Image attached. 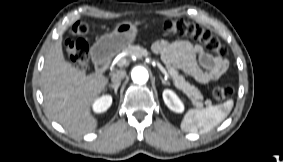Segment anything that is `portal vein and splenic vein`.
Segmentation results:
<instances>
[{"label":"portal vein and splenic vein","mask_w":283,"mask_h":162,"mask_svg":"<svg viewBox=\"0 0 283 162\" xmlns=\"http://www.w3.org/2000/svg\"><path fill=\"white\" fill-rule=\"evenodd\" d=\"M127 64V60L126 59H123L121 61L118 62V66L122 67L124 65ZM159 69L161 70V72L167 77L168 76V73L167 71L164 69V67L160 64V63H157Z\"/></svg>","instance_id":"1"}]
</instances>
